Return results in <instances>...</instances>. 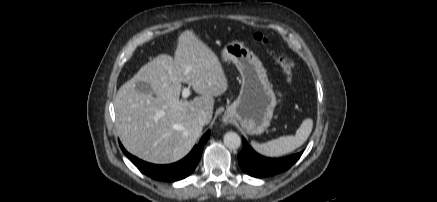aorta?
Returning <instances> with one entry per match:
<instances>
[{"instance_id":"aorta-1","label":"aorta","mask_w":437,"mask_h":202,"mask_svg":"<svg viewBox=\"0 0 437 202\" xmlns=\"http://www.w3.org/2000/svg\"><path fill=\"white\" fill-rule=\"evenodd\" d=\"M224 144L229 149H238L241 145V138L235 132H227L223 138Z\"/></svg>"}]
</instances>
